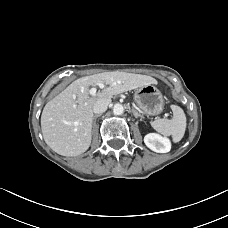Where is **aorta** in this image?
Instances as JSON below:
<instances>
[{"label":"aorta","instance_id":"762f6f07","mask_svg":"<svg viewBox=\"0 0 228 228\" xmlns=\"http://www.w3.org/2000/svg\"><path fill=\"white\" fill-rule=\"evenodd\" d=\"M123 112H124V107L121 104L117 103L114 105L113 107L114 115H121L123 114Z\"/></svg>","mask_w":228,"mask_h":228}]
</instances>
